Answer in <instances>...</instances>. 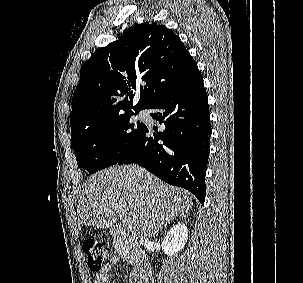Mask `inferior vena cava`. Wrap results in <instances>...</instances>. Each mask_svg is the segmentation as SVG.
<instances>
[{
  "label": "inferior vena cava",
  "instance_id": "obj_1",
  "mask_svg": "<svg viewBox=\"0 0 303 283\" xmlns=\"http://www.w3.org/2000/svg\"><path fill=\"white\" fill-rule=\"evenodd\" d=\"M147 235H148V232L146 233V229L144 228L141 232V236H140L141 240H143V239L146 240Z\"/></svg>",
  "mask_w": 303,
  "mask_h": 283
}]
</instances>
